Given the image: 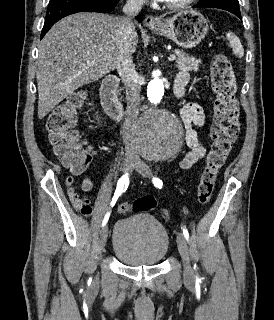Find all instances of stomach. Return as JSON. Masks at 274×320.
Listing matches in <instances>:
<instances>
[{"label":"stomach","mask_w":274,"mask_h":320,"mask_svg":"<svg viewBox=\"0 0 274 320\" xmlns=\"http://www.w3.org/2000/svg\"><path fill=\"white\" fill-rule=\"evenodd\" d=\"M160 20L163 26H151L149 30L154 34H159V36L170 38L181 48H195L197 44L204 40L209 30L206 18L195 10L178 12L167 20H163V18H160Z\"/></svg>","instance_id":"1"}]
</instances>
